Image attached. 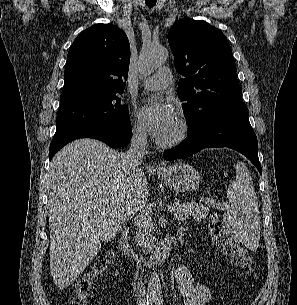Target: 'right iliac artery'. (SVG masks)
Returning <instances> with one entry per match:
<instances>
[{"label":"right iliac artery","instance_id":"obj_1","mask_svg":"<svg viewBox=\"0 0 297 305\" xmlns=\"http://www.w3.org/2000/svg\"><path fill=\"white\" fill-rule=\"evenodd\" d=\"M154 300V297H147L146 303L144 305H153Z\"/></svg>","mask_w":297,"mask_h":305}]
</instances>
